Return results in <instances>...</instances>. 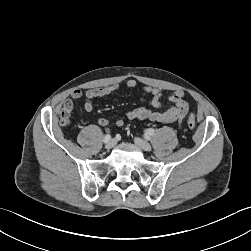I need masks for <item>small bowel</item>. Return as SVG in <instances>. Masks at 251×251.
I'll return each mask as SVG.
<instances>
[{"mask_svg":"<svg viewBox=\"0 0 251 251\" xmlns=\"http://www.w3.org/2000/svg\"><path fill=\"white\" fill-rule=\"evenodd\" d=\"M126 86L133 89L137 86V82L134 79H130L126 82ZM118 89L119 85L113 84L106 87L87 90L84 94V109L87 112L93 111L96 99L111 95L118 91ZM143 90L151 96V99L146 106L127 111L125 113L127 119L149 120L158 123H181L190 108V104L184 99V93L182 91L177 90L169 93L166 98L171 105L167 109L160 111L163 107L162 99L164 98V92L161 89L152 86H144ZM82 96L83 93L80 90H74L71 93L70 98L64 102L63 108H69L71 110L73 107L72 100H78ZM109 122V119L106 117L98 118V124L101 126H107ZM123 123L124 121L122 119L116 121L118 126L123 125Z\"/></svg>","mask_w":251,"mask_h":251,"instance_id":"obj_1","label":"small bowel"}]
</instances>
